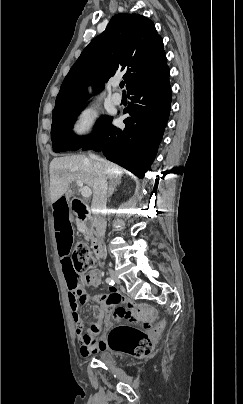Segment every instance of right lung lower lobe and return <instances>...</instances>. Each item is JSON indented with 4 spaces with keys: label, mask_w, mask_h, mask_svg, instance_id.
<instances>
[{
    "label": "right lung lower lobe",
    "mask_w": 243,
    "mask_h": 404,
    "mask_svg": "<svg viewBox=\"0 0 243 404\" xmlns=\"http://www.w3.org/2000/svg\"><path fill=\"white\" fill-rule=\"evenodd\" d=\"M127 93L133 103L124 111L130 115L123 121L125 128L110 122L80 149L102 151L108 160L143 178L155 158L170 113L169 67L165 65L133 84Z\"/></svg>",
    "instance_id": "obj_1"
}]
</instances>
